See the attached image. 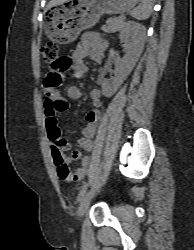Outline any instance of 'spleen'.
<instances>
[{
    "instance_id": "3e777b00",
    "label": "spleen",
    "mask_w": 194,
    "mask_h": 250,
    "mask_svg": "<svg viewBox=\"0 0 194 250\" xmlns=\"http://www.w3.org/2000/svg\"><path fill=\"white\" fill-rule=\"evenodd\" d=\"M140 2V5L131 11V16L138 20H145L152 13V0H140Z\"/></svg>"
}]
</instances>
